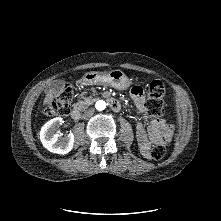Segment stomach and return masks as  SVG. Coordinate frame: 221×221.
<instances>
[{"label":"stomach","instance_id":"obj_1","mask_svg":"<svg viewBox=\"0 0 221 221\" xmlns=\"http://www.w3.org/2000/svg\"><path fill=\"white\" fill-rule=\"evenodd\" d=\"M80 82L84 85L104 84L118 90L128 89L131 85L130 79L118 69L109 72H87Z\"/></svg>","mask_w":221,"mask_h":221}]
</instances>
